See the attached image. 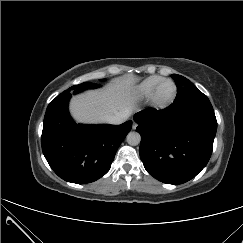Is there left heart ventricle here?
Masks as SVG:
<instances>
[{"label": "left heart ventricle", "instance_id": "left-heart-ventricle-1", "mask_svg": "<svg viewBox=\"0 0 243 243\" xmlns=\"http://www.w3.org/2000/svg\"><path fill=\"white\" fill-rule=\"evenodd\" d=\"M173 92V85L171 83H166L159 90V98L161 100H167L173 95Z\"/></svg>", "mask_w": 243, "mask_h": 243}]
</instances>
